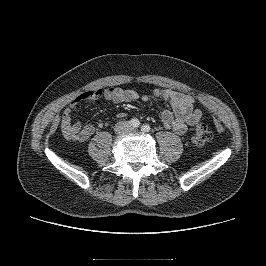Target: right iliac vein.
<instances>
[{
    "mask_svg": "<svg viewBox=\"0 0 266 266\" xmlns=\"http://www.w3.org/2000/svg\"><path fill=\"white\" fill-rule=\"evenodd\" d=\"M127 130H128V125L124 122L119 123L116 129L117 133L119 134H124L125 132H127Z\"/></svg>",
    "mask_w": 266,
    "mask_h": 266,
    "instance_id": "right-iliac-vein-1",
    "label": "right iliac vein"
}]
</instances>
